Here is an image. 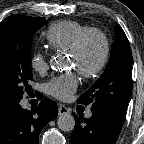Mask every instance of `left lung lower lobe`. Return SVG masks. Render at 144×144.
<instances>
[{
    "instance_id": "0a47b994",
    "label": "left lung lower lobe",
    "mask_w": 144,
    "mask_h": 144,
    "mask_svg": "<svg viewBox=\"0 0 144 144\" xmlns=\"http://www.w3.org/2000/svg\"><path fill=\"white\" fill-rule=\"evenodd\" d=\"M92 117H75L71 144H115L125 118L104 108H91Z\"/></svg>"
}]
</instances>
